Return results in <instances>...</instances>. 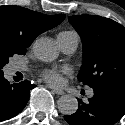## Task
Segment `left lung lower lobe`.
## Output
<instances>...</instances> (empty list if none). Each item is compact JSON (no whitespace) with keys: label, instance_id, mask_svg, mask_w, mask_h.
<instances>
[{"label":"left lung lower lobe","instance_id":"left-lung-lower-lobe-1","mask_svg":"<svg viewBox=\"0 0 125 125\" xmlns=\"http://www.w3.org/2000/svg\"><path fill=\"white\" fill-rule=\"evenodd\" d=\"M93 90L87 103L78 99V110L64 116L70 125H114L125 115V86L102 85Z\"/></svg>","mask_w":125,"mask_h":125}]
</instances>
